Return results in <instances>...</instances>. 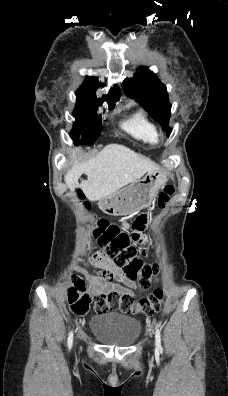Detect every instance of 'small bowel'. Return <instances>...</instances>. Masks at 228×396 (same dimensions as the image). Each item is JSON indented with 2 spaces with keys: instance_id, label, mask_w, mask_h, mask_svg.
<instances>
[{
  "instance_id": "c3829d8e",
  "label": "small bowel",
  "mask_w": 228,
  "mask_h": 396,
  "mask_svg": "<svg viewBox=\"0 0 228 396\" xmlns=\"http://www.w3.org/2000/svg\"><path fill=\"white\" fill-rule=\"evenodd\" d=\"M127 228V224L123 225ZM95 255V254H94ZM97 260H94L92 255L90 258V263L95 268L101 269V275L88 274L89 281L93 287V293L107 295L110 293L124 294L132 292L135 289V284L129 280L121 270V268L114 265L111 260L102 258V256L97 253ZM123 282L125 286L114 282Z\"/></svg>"
}]
</instances>
